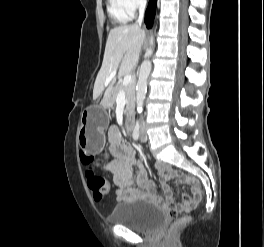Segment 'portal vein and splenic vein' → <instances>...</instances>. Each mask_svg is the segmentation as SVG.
<instances>
[{
	"mask_svg": "<svg viewBox=\"0 0 264 247\" xmlns=\"http://www.w3.org/2000/svg\"><path fill=\"white\" fill-rule=\"evenodd\" d=\"M116 75V72H113L110 74L109 79L107 80V82L105 83V85H108V83L112 80V78H114ZM131 82V76H125L123 79V86L126 87L127 85H129Z\"/></svg>",
	"mask_w": 264,
	"mask_h": 247,
	"instance_id": "18ae733b",
	"label": "portal vein and splenic vein"
}]
</instances>
